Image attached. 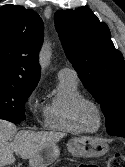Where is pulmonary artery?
Here are the masks:
<instances>
[{"instance_id": "pulmonary-artery-1", "label": "pulmonary artery", "mask_w": 125, "mask_h": 167, "mask_svg": "<svg viewBox=\"0 0 125 167\" xmlns=\"http://www.w3.org/2000/svg\"><path fill=\"white\" fill-rule=\"evenodd\" d=\"M58 78H70V79H77L76 71L71 67H62L58 71Z\"/></svg>"}]
</instances>
